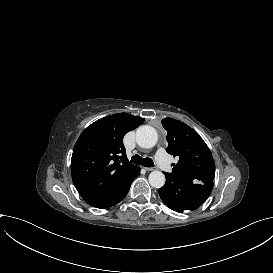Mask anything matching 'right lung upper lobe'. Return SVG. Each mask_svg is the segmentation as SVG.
I'll return each mask as SVG.
<instances>
[{
    "label": "right lung upper lobe",
    "instance_id": "right-lung-upper-lobe-1",
    "mask_svg": "<svg viewBox=\"0 0 273 273\" xmlns=\"http://www.w3.org/2000/svg\"><path fill=\"white\" fill-rule=\"evenodd\" d=\"M144 121L118 113L89 125L78 138L72 158V180L83 199L97 208L112 206L140 168L131 164L123 145L124 135Z\"/></svg>",
    "mask_w": 273,
    "mask_h": 273
}]
</instances>
